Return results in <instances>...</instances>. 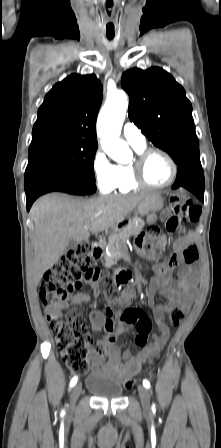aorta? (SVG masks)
I'll return each instance as SVG.
<instances>
[{
	"instance_id": "762f6f07",
	"label": "aorta",
	"mask_w": 221,
	"mask_h": 448,
	"mask_svg": "<svg viewBox=\"0 0 221 448\" xmlns=\"http://www.w3.org/2000/svg\"><path fill=\"white\" fill-rule=\"evenodd\" d=\"M128 108V98L123 92L107 98L98 117V134L105 153L118 163H128L131 151L128 144L119 138Z\"/></svg>"
}]
</instances>
